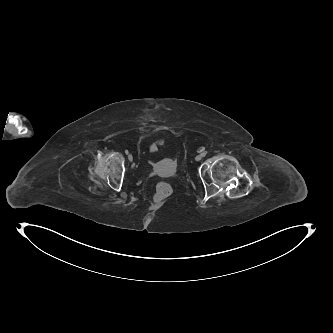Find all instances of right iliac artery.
<instances>
[{"mask_svg":"<svg viewBox=\"0 0 333 333\" xmlns=\"http://www.w3.org/2000/svg\"><path fill=\"white\" fill-rule=\"evenodd\" d=\"M125 153L128 154V150H125Z\"/></svg>","mask_w":333,"mask_h":333,"instance_id":"obj_1","label":"right iliac artery"}]
</instances>
